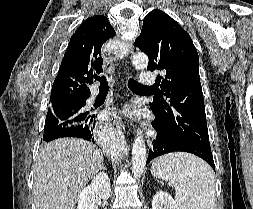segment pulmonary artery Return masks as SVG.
<instances>
[{"instance_id":"obj_1","label":"pulmonary artery","mask_w":253,"mask_h":209,"mask_svg":"<svg viewBox=\"0 0 253 209\" xmlns=\"http://www.w3.org/2000/svg\"><path fill=\"white\" fill-rule=\"evenodd\" d=\"M141 82L144 84V86H150L155 83V78L153 75H151L149 72H143L140 76ZM96 96L93 95L90 97L89 102L92 103L95 100Z\"/></svg>"}]
</instances>
